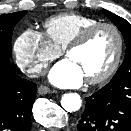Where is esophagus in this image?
Instances as JSON below:
<instances>
[{
    "mask_svg": "<svg viewBox=\"0 0 131 131\" xmlns=\"http://www.w3.org/2000/svg\"><path fill=\"white\" fill-rule=\"evenodd\" d=\"M38 93L41 95H46L51 93V89L48 88L47 86L41 85L38 87Z\"/></svg>",
    "mask_w": 131,
    "mask_h": 131,
    "instance_id": "1",
    "label": "esophagus"
}]
</instances>
